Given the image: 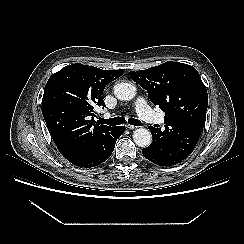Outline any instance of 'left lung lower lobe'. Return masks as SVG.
Instances as JSON below:
<instances>
[{
    "label": "left lung lower lobe",
    "mask_w": 244,
    "mask_h": 244,
    "mask_svg": "<svg viewBox=\"0 0 244 244\" xmlns=\"http://www.w3.org/2000/svg\"><path fill=\"white\" fill-rule=\"evenodd\" d=\"M142 153L146 159H148L149 161H151L159 166H171V165H163L162 159L160 158L158 152L151 145L148 146L147 148H144L142 150Z\"/></svg>",
    "instance_id": "left-lung-lower-lobe-1"
}]
</instances>
